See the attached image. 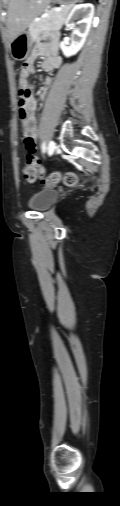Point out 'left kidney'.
I'll return each instance as SVG.
<instances>
[{"mask_svg":"<svg viewBox=\"0 0 120 506\" xmlns=\"http://www.w3.org/2000/svg\"><path fill=\"white\" fill-rule=\"evenodd\" d=\"M93 16L94 6L90 3L76 5L70 11L65 25L73 29L71 43L69 45L66 42L60 43V48L66 57L75 55L83 47L91 28ZM80 17L82 20L78 22L79 27L75 28L74 20Z\"/></svg>","mask_w":120,"mask_h":506,"instance_id":"1","label":"left kidney"}]
</instances>
